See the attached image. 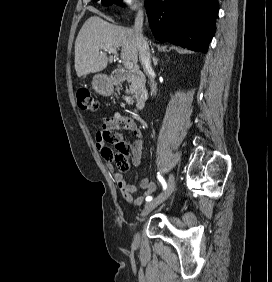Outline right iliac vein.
I'll use <instances>...</instances> for the list:
<instances>
[{
    "label": "right iliac vein",
    "instance_id": "1",
    "mask_svg": "<svg viewBox=\"0 0 272 282\" xmlns=\"http://www.w3.org/2000/svg\"><path fill=\"white\" fill-rule=\"evenodd\" d=\"M174 186H175V177L174 175H171L169 177L168 183H167V187L165 189V191L163 193H161L160 195H158L156 198H154L153 200L149 201L142 213H141V217L144 218L145 216H147L153 209H155L157 206H159L161 203H163L173 192L174 190ZM139 240V236L138 234H136L135 236V242H138Z\"/></svg>",
    "mask_w": 272,
    "mask_h": 282
}]
</instances>
